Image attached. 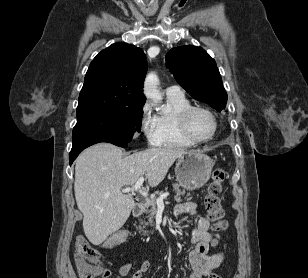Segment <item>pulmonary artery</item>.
Segmentation results:
<instances>
[{
	"instance_id": "e3ab8cb5",
	"label": "pulmonary artery",
	"mask_w": 308,
	"mask_h": 278,
	"mask_svg": "<svg viewBox=\"0 0 308 278\" xmlns=\"http://www.w3.org/2000/svg\"><path fill=\"white\" fill-rule=\"evenodd\" d=\"M167 96H180L183 95V91L179 86H170L165 90Z\"/></svg>"
}]
</instances>
